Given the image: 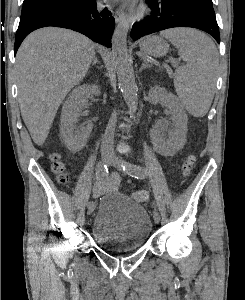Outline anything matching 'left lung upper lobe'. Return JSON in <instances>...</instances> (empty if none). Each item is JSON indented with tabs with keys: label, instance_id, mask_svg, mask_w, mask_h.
I'll return each instance as SVG.
<instances>
[{
	"label": "left lung upper lobe",
	"instance_id": "obj_1",
	"mask_svg": "<svg viewBox=\"0 0 245 300\" xmlns=\"http://www.w3.org/2000/svg\"><path fill=\"white\" fill-rule=\"evenodd\" d=\"M200 1L210 4V5H213L212 0H200Z\"/></svg>",
	"mask_w": 245,
	"mask_h": 300
}]
</instances>
